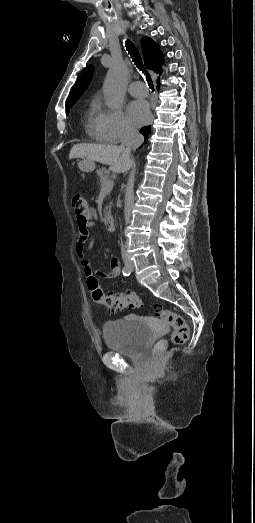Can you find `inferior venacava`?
<instances>
[{
    "label": "inferior vena cava",
    "mask_w": 255,
    "mask_h": 523,
    "mask_svg": "<svg viewBox=\"0 0 255 523\" xmlns=\"http://www.w3.org/2000/svg\"><path fill=\"white\" fill-rule=\"evenodd\" d=\"M141 144H143V136L139 134L138 130H135V128H132V126H128V128H126L125 138L123 140L122 158H124V160H127V162H131V150H136V148H138V146H141ZM121 252L122 254H126L125 246L124 244H122V242Z\"/></svg>",
    "instance_id": "1"
}]
</instances>
